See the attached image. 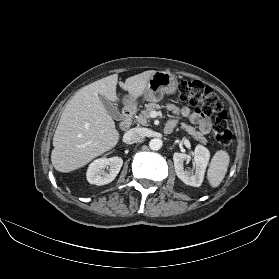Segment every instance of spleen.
Here are the masks:
<instances>
[{"label": "spleen", "mask_w": 279, "mask_h": 279, "mask_svg": "<svg viewBox=\"0 0 279 279\" xmlns=\"http://www.w3.org/2000/svg\"><path fill=\"white\" fill-rule=\"evenodd\" d=\"M229 161L230 157L226 151L219 150L215 153L207 171V179L211 187L220 185L227 172Z\"/></svg>", "instance_id": "1"}]
</instances>
